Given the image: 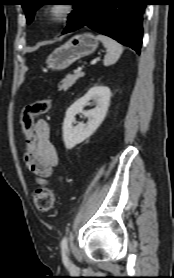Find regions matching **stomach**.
Returning <instances> with one entry per match:
<instances>
[{
	"label": "stomach",
	"instance_id": "0dacf381",
	"mask_svg": "<svg viewBox=\"0 0 174 278\" xmlns=\"http://www.w3.org/2000/svg\"><path fill=\"white\" fill-rule=\"evenodd\" d=\"M97 46L98 42L92 34L76 35L47 57V67L52 70L66 69L76 60L93 53Z\"/></svg>",
	"mask_w": 174,
	"mask_h": 278
}]
</instances>
